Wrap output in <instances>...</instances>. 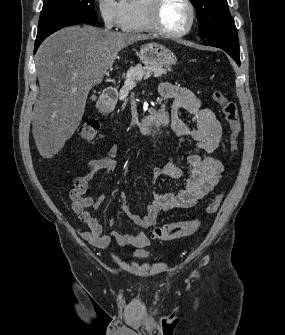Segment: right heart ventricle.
<instances>
[{
    "label": "right heart ventricle",
    "mask_w": 285,
    "mask_h": 335,
    "mask_svg": "<svg viewBox=\"0 0 285 335\" xmlns=\"http://www.w3.org/2000/svg\"><path fill=\"white\" fill-rule=\"evenodd\" d=\"M127 6L131 10V15L125 18L122 25L124 29L136 33L152 32L151 1H129Z\"/></svg>",
    "instance_id": "1"
}]
</instances>
